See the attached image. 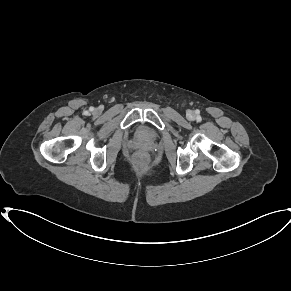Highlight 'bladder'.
Masks as SVG:
<instances>
[{
	"mask_svg": "<svg viewBox=\"0 0 291 291\" xmlns=\"http://www.w3.org/2000/svg\"><path fill=\"white\" fill-rule=\"evenodd\" d=\"M154 133L151 132L149 129L142 127L139 131H138V136L141 138H154Z\"/></svg>",
	"mask_w": 291,
	"mask_h": 291,
	"instance_id": "31cf9c89",
	"label": "bladder"
}]
</instances>
